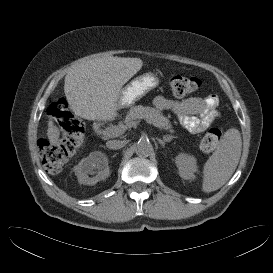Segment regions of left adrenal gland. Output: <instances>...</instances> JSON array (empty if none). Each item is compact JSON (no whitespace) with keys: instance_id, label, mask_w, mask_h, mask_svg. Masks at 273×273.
Instances as JSON below:
<instances>
[{"instance_id":"a2214340","label":"left adrenal gland","mask_w":273,"mask_h":273,"mask_svg":"<svg viewBox=\"0 0 273 273\" xmlns=\"http://www.w3.org/2000/svg\"><path fill=\"white\" fill-rule=\"evenodd\" d=\"M173 138H175L174 136H170V135H165L163 137V139H157V141L159 142V144L164 147L166 142H170Z\"/></svg>"}]
</instances>
